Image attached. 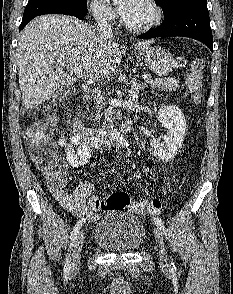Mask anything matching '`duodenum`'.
Here are the masks:
<instances>
[{
	"label": "duodenum",
	"instance_id": "1",
	"mask_svg": "<svg viewBox=\"0 0 233 294\" xmlns=\"http://www.w3.org/2000/svg\"><path fill=\"white\" fill-rule=\"evenodd\" d=\"M73 127L75 134H77L82 141L92 147L103 145L111 146L114 145L116 142L112 134L104 130L86 127L83 121L78 116L73 117ZM130 130L131 123L126 122L123 126L122 131L129 132Z\"/></svg>",
	"mask_w": 233,
	"mask_h": 294
}]
</instances>
